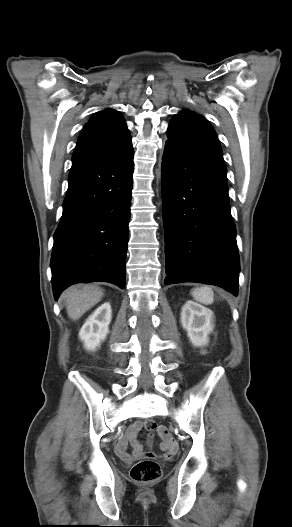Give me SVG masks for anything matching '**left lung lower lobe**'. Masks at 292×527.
I'll return each mask as SVG.
<instances>
[{
  "label": "left lung lower lobe",
  "mask_w": 292,
  "mask_h": 527,
  "mask_svg": "<svg viewBox=\"0 0 292 527\" xmlns=\"http://www.w3.org/2000/svg\"><path fill=\"white\" fill-rule=\"evenodd\" d=\"M161 180L165 284H214L237 295L239 256L224 161L166 144Z\"/></svg>",
  "instance_id": "1"
}]
</instances>
